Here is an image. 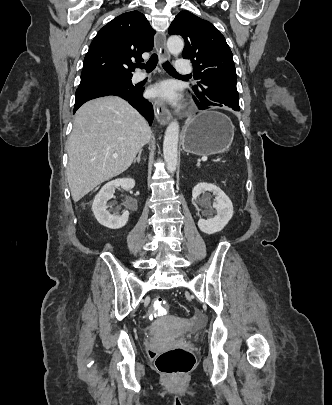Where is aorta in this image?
<instances>
[{
    "mask_svg": "<svg viewBox=\"0 0 332 405\" xmlns=\"http://www.w3.org/2000/svg\"><path fill=\"white\" fill-rule=\"evenodd\" d=\"M167 48L171 54L178 55L184 48V42L182 38L178 36H171L167 40ZM178 137L179 124L176 120H174L168 125L163 141V157L167 171L170 173H174L177 168Z\"/></svg>",
    "mask_w": 332,
    "mask_h": 405,
    "instance_id": "aorta-1",
    "label": "aorta"
}]
</instances>
